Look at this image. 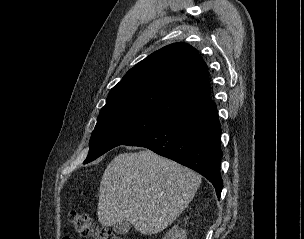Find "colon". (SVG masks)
<instances>
[{"label": "colon", "instance_id": "colon-1", "mask_svg": "<svg viewBox=\"0 0 304 239\" xmlns=\"http://www.w3.org/2000/svg\"><path fill=\"white\" fill-rule=\"evenodd\" d=\"M68 218L74 230L82 236L93 239H122L109 229L96 227L85 211H71Z\"/></svg>", "mask_w": 304, "mask_h": 239}]
</instances>
